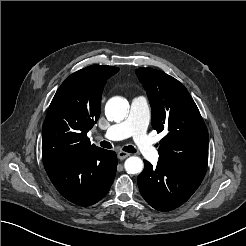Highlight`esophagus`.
Segmentation results:
<instances>
[{
    "label": "esophagus",
    "instance_id": "obj_1",
    "mask_svg": "<svg viewBox=\"0 0 246 246\" xmlns=\"http://www.w3.org/2000/svg\"><path fill=\"white\" fill-rule=\"evenodd\" d=\"M128 156H130V154L127 153V152H124V151H119V152L117 153V157H118V159H120V160H123V159L127 158Z\"/></svg>",
    "mask_w": 246,
    "mask_h": 246
}]
</instances>
